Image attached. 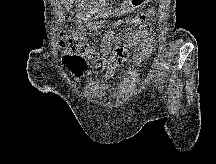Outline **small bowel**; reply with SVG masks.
<instances>
[{
    "mask_svg": "<svg viewBox=\"0 0 216 164\" xmlns=\"http://www.w3.org/2000/svg\"><path fill=\"white\" fill-rule=\"evenodd\" d=\"M154 15V10H148L145 13L131 16L126 20L116 23V26L127 24L128 28L124 33L119 34L114 31L108 32L101 43V51L107 55L106 58L98 57L104 69L105 76L111 77L113 72L122 65L129 57V48L137 47V51L132 58L134 64H140L145 58L151 55L154 48V38L151 35L150 19ZM139 25L137 31H133L135 26ZM88 55L96 57V52L91 47Z\"/></svg>",
    "mask_w": 216,
    "mask_h": 164,
    "instance_id": "c3829d8e",
    "label": "small bowel"
}]
</instances>
